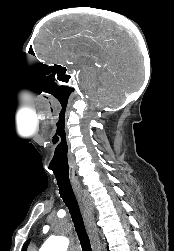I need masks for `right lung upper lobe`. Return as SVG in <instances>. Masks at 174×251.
<instances>
[{
    "label": "right lung upper lobe",
    "mask_w": 174,
    "mask_h": 251,
    "mask_svg": "<svg viewBox=\"0 0 174 251\" xmlns=\"http://www.w3.org/2000/svg\"><path fill=\"white\" fill-rule=\"evenodd\" d=\"M28 243L25 244L24 248L22 251H26Z\"/></svg>",
    "instance_id": "cb5924a9"
}]
</instances>
